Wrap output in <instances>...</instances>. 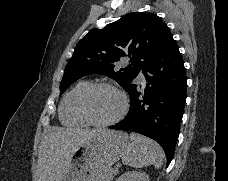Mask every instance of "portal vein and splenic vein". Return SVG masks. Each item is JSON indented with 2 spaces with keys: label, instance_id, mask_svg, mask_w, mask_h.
<instances>
[{
  "label": "portal vein and splenic vein",
  "instance_id": "18ae733b",
  "mask_svg": "<svg viewBox=\"0 0 228 181\" xmlns=\"http://www.w3.org/2000/svg\"><path fill=\"white\" fill-rule=\"evenodd\" d=\"M111 167L116 171L117 174H120L121 173L120 168L118 166H116L115 164H113Z\"/></svg>",
  "mask_w": 228,
  "mask_h": 181
}]
</instances>
